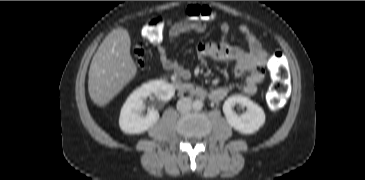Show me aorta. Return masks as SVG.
Listing matches in <instances>:
<instances>
[{"instance_id":"aorta-1","label":"aorta","mask_w":365,"mask_h":180,"mask_svg":"<svg viewBox=\"0 0 365 180\" xmlns=\"http://www.w3.org/2000/svg\"><path fill=\"white\" fill-rule=\"evenodd\" d=\"M192 108L194 110H201L203 108V102L201 100H194L192 103Z\"/></svg>"}]
</instances>
